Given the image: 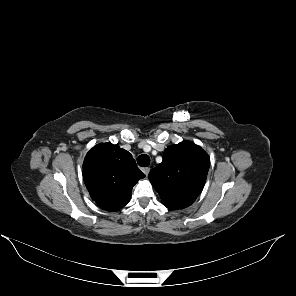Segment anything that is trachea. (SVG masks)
I'll return each mask as SVG.
<instances>
[{"instance_id":"1","label":"trachea","mask_w":296,"mask_h":296,"mask_svg":"<svg viewBox=\"0 0 296 296\" xmlns=\"http://www.w3.org/2000/svg\"><path fill=\"white\" fill-rule=\"evenodd\" d=\"M137 163L139 166L147 167L150 164V157L146 154L138 156Z\"/></svg>"}]
</instances>
